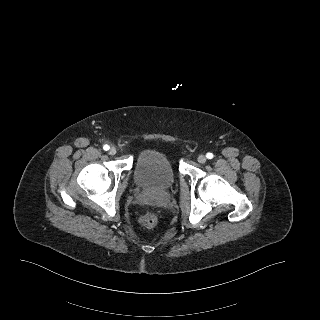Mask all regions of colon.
Returning a JSON list of instances; mask_svg holds the SVG:
<instances>
[{
	"instance_id": "1",
	"label": "colon",
	"mask_w": 320,
	"mask_h": 320,
	"mask_svg": "<svg viewBox=\"0 0 320 320\" xmlns=\"http://www.w3.org/2000/svg\"><path fill=\"white\" fill-rule=\"evenodd\" d=\"M139 222L144 227H153L158 222V216L153 212H149L142 215L139 219Z\"/></svg>"
}]
</instances>
